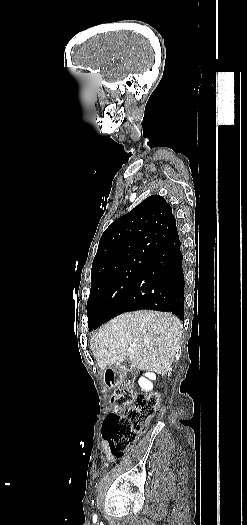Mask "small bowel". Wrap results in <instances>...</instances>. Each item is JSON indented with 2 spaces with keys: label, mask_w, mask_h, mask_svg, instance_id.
<instances>
[{
  "label": "small bowel",
  "mask_w": 247,
  "mask_h": 525,
  "mask_svg": "<svg viewBox=\"0 0 247 525\" xmlns=\"http://www.w3.org/2000/svg\"><path fill=\"white\" fill-rule=\"evenodd\" d=\"M103 450H104V453H105L106 458H107V460H108V463H112V462H114V461H115V457L112 456L111 453L109 452L106 443H103Z\"/></svg>",
  "instance_id": "1"
}]
</instances>
